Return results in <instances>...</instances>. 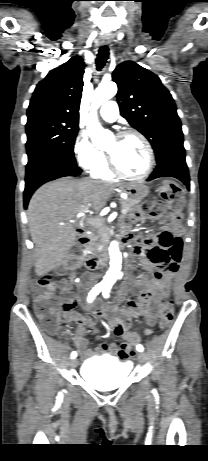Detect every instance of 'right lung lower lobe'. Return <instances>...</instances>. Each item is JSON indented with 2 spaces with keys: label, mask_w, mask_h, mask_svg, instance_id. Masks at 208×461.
Returning a JSON list of instances; mask_svg holds the SVG:
<instances>
[{
  "label": "right lung lower lobe",
  "mask_w": 208,
  "mask_h": 461,
  "mask_svg": "<svg viewBox=\"0 0 208 461\" xmlns=\"http://www.w3.org/2000/svg\"><path fill=\"white\" fill-rule=\"evenodd\" d=\"M81 171L76 162H71L58 155H46L28 164L26 167L24 208H27L32 194L42 184L60 177L78 176Z\"/></svg>",
  "instance_id": "obj_1"
}]
</instances>
